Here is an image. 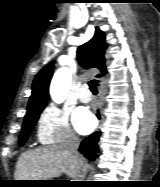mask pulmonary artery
Wrapping results in <instances>:
<instances>
[{
    "mask_svg": "<svg viewBox=\"0 0 160 187\" xmlns=\"http://www.w3.org/2000/svg\"><path fill=\"white\" fill-rule=\"evenodd\" d=\"M87 90V87L85 85H83L79 92H78V99L83 102V103H87L90 101L91 99V96L89 93L86 92Z\"/></svg>",
    "mask_w": 160,
    "mask_h": 187,
    "instance_id": "obj_1",
    "label": "pulmonary artery"
}]
</instances>
